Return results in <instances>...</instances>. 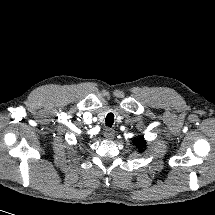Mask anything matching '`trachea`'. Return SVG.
I'll return each mask as SVG.
<instances>
[{
	"mask_svg": "<svg viewBox=\"0 0 215 215\" xmlns=\"http://www.w3.org/2000/svg\"><path fill=\"white\" fill-rule=\"evenodd\" d=\"M105 121L106 126L111 127L114 123V115L112 113L107 114Z\"/></svg>",
	"mask_w": 215,
	"mask_h": 215,
	"instance_id": "1",
	"label": "trachea"
}]
</instances>
